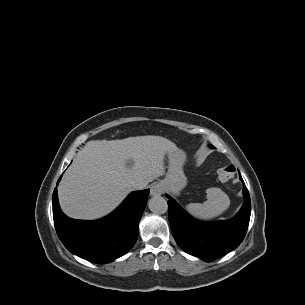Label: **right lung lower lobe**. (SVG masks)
<instances>
[{
  "label": "right lung lower lobe",
  "instance_id": "right-lung-lower-lobe-1",
  "mask_svg": "<svg viewBox=\"0 0 305 305\" xmlns=\"http://www.w3.org/2000/svg\"><path fill=\"white\" fill-rule=\"evenodd\" d=\"M148 194L149 189L133 192L105 218L82 221L63 214L55 188L53 218L58 237L71 253L83 259L97 264L113 261L134 246Z\"/></svg>",
  "mask_w": 305,
  "mask_h": 305
}]
</instances>
